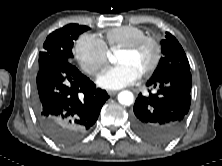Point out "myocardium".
Here are the masks:
<instances>
[{
	"label": "myocardium",
	"mask_w": 222,
	"mask_h": 166,
	"mask_svg": "<svg viewBox=\"0 0 222 166\" xmlns=\"http://www.w3.org/2000/svg\"><path fill=\"white\" fill-rule=\"evenodd\" d=\"M146 43H149L153 46L154 56H153V60H152L151 64L149 65V67L147 69H145L141 73V76L150 75L158 67L160 60H161V54H162L161 45H160L159 41L155 37L145 35V36L135 39L131 43L124 45L120 48V50L124 51V52H134Z\"/></svg>",
	"instance_id": "obj_1"
}]
</instances>
